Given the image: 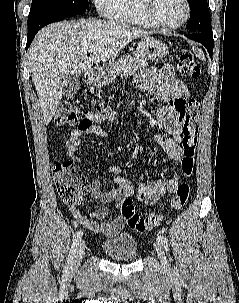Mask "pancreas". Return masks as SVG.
I'll return each mask as SVG.
<instances>
[{
    "label": "pancreas",
    "mask_w": 239,
    "mask_h": 303,
    "mask_svg": "<svg viewBox=\"0 0 239 303\" xmlns=\"http://www.w3.org/2000/svg\"><path fill=\"white\" fill-rule=\"evenodd\" d=\"M148 67V63L143 59H138L134 55H123L119 60L112 64L110 74L112 80L117 76H127L135 73L139 69Z\"/></svg>",
    "instance_id": "pancreas-1"
}]
</instances>
